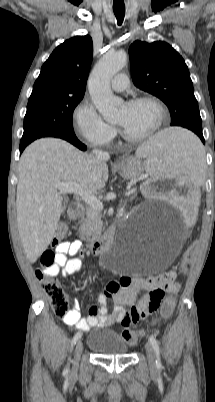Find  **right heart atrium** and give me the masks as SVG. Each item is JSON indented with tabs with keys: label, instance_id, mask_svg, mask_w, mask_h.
<instances>
[{
	"label": "right heart atrium",
	"instance_id": "obj_1",
	"mask_svg": "<svg viewBox=\"0 0 215 402\" xmlns=\"http://www.w3.org/2000/svg\"><path fill=\"white\" fill-rule=\"evenodd\" d=\"M73 119L77 135L92 146L106 147L116 136V129L99 115L87 99L77 105Z\"/></svg>",
	"mask_w": 215,
	"mask_h": 402
}]
</instances>
